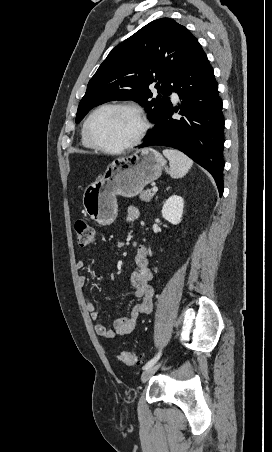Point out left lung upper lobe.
Returning <instances> with one entry per match:
<instances>
[{"label":"left lung upper lobe","mask_w":272,"mask_h":452,"mask_svg":"<svg viewBox=\"0 0 272 452\" xmlns=\"http://www.w3.org/2000/svg\"><path fill=\"white\" fill-rule=\"evenodd\" d=\"M197 39L170 18L145 25L117 45L88 83L76 116L80 122L93 107L112 100H134L155 122L166 110L173 83L190 57ZM160 94L152 98L149 86Z\"/></svg>","instance_id":"1"}]
</instances>
